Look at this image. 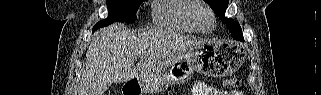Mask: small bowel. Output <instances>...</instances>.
Masks as SVG:
<instances>
[{"label": "small bowel", "instance_id": "1", "mask_svg": "<svg viewBox=\"0 0 321 95\" xmlns=\"http://www.w3.org/2000/svg\"><path fill=\"white\" fill-rule=\"evenodd\" d=\"M236 95L235 93L221 92L217 88H207L204 85L197 84L195 87V95Z\"/></svg>", "mask_w": 321, "mask_h": 95}]
</instances>
